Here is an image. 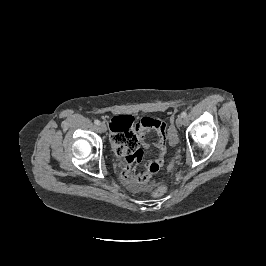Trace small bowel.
I'll use <instances>...</instances> for the list:
<instances>
[{"label": "small bowel", "instance_id": "c3829d8e", "mask_svg": "<svg viewBox=\"0 0 266 266\" xmlns=\"http://www.w3.org/2000/svg\"><path fill=\"white\" fill-rule=\"evenodd\" d=\"M110 130L113 148L122 159L121 178L123 182L134 191L142 190L145 183L163 166L167 152L166 141L174 143L172 141V136H175L174 131L170 130L167 135L165 122L153 118H141L135 121L130 115L113 117ZM148 130H153L157 135L155 142L157 157L147 164L145 172L139 173L135 165L142 161L143 149L148 148L144 140Z\"/></svg>", "mask_w": 266, "mask_h": 266}]
</instances>
